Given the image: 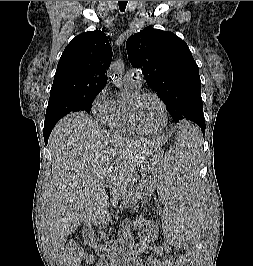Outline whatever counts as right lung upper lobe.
<instances>
[{
	"label": "right lung upper lobe",
	"mask_w": 253,
	"mask_h": 266,
	"mask_svg": "<svg viewBox=\"0 0 253 266\" xmlns=\"http://www.w3.org/2000/svg\"><path fill=\"white\" fill-rule=\"evenodd\" d=\"M111 61L112 48L104 32L76 36L60 57L50 97L101 91L107 83L105 72Z\"/></svg>",
	"instance_id": "1"
}]
</instances>
